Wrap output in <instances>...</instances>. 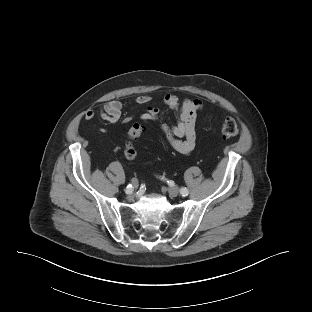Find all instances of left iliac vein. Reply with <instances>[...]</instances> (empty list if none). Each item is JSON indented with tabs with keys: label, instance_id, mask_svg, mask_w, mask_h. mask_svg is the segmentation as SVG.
Here are the masks:
<instances>
[{
	"label": "left iliac vein",
	"instance_id": "1",
	"mask_svg": "<svg viewBox=\"0 0 312 312\" xmlns=\"http://www.w3.org/2000/svg\"><path fill=\"white\" fill-rule=\"evenodd\" d=\"M168 193L171 197H176L179 194V189L175 186L169 187Z\"/></svg>",
	"mask_w": 312,
	"mask_h": 312
}]
</instances>
